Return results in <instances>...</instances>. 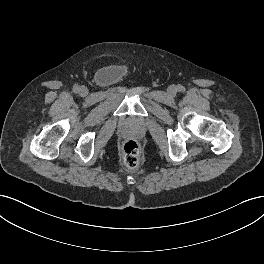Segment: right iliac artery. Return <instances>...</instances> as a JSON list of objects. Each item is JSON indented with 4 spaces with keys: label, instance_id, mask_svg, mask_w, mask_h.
<instances>
[{
    "label": "right iliac artery",
    "instance_id": "obj_1",
    "mask_svg": "<svg viewBox=\"0 0 264 264\" xmlns=\"http://www.w3.org/2000/svg\"><path fill=\"white\" fill-rule=\"evenodd\" d=\"M79 89H80V87H79L78 85H74V87H73V91H74L75 93H78V92H79Z\"/></svg>",
    "mask_w": 264,
    "mask_h": 264
}]
</instances>
